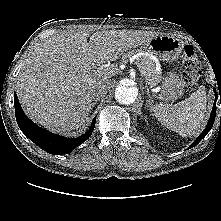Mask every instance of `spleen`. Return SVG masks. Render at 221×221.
<instances>
[{
    "mask_svg": "<svg viewBox=\"0 0 221 221\" xmlns=\"http://www.w3.org/2000/svg\"><path fill=\"white\" fill-rule=\"evenodd\" d=\"M206 92L201 87L189 98L175 104H157L153 107L155 117L168 129L183 137L195 135L206 121Z\"/></svg>",
    "mask_w": 221,
    "mask_h": 221,
    "instance_id": "obj_1",
    "label": "spleen"
}]
</instances>
